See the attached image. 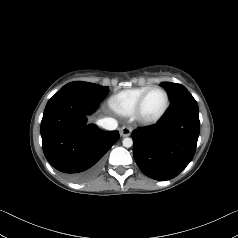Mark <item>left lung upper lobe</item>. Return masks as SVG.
I'll return each mask as SVG.
<instances>
[{
	"label": "left lung upper lobe",
	"instance_id": "5c2ea615",
	"mask_svg": "<svg viewBox=\"0 0 238 238\" xmlns=\"http://www.w3.org/2000/svg\"><path fill=\"white\" fill-rule=\"evenodd\" d=\"M161 84L167 90L171 101H174L179 96L189 92L184 86L177 83L162 82Z\"/></svg>",
	"mask_w": 238,
	"mask_h": 238
}]
</instances>
